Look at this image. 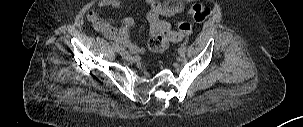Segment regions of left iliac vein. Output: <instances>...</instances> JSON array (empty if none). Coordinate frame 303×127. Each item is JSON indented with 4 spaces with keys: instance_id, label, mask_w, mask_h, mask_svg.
<instances>
[{
    "instance_id": "4c4485c4",
    "label": "left iliac vein",
    "mask_w": 303,
    "mask_h": 127,
    "mask_svg": "<svg viewBox=\"0 0 303 127\" xmlns=\"http://www.w3.org/2000/svg\"><path fill=\"white\" fill-rule=\"evenodd\" d=\"M180 57H181V59H184L185 58V53L180 52Z\"/></svg>"
}]
</instances>
